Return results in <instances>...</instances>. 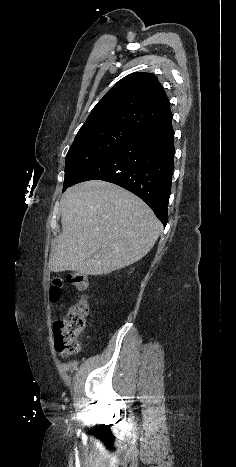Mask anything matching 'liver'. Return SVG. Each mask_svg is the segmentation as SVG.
Masks as SVG:
<instances>
[{"mask_svg":"<svg viewBox=\"0 0 236 467\" xmlns=\"http://www.w3.org/2000/svg\"><path fill=\"white\" fill-rule=\"evenodd\" d=\"M62 233L49 268L103 275L129 266L154 246L162 224L140 198L94 180L66 190L60 200Z\"/></svg>","mask_w":236,"mask_h":467,"instance_id":"obj_1","label":"liver"}]
</instances>
